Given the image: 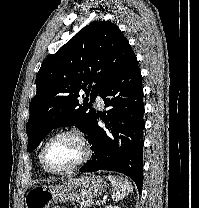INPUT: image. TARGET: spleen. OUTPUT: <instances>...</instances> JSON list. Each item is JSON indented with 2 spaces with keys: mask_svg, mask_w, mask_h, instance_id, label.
<instances>
[{
  "mask_svg": "<svg viewBox=\"0 0 199 208\" xmlns=\"http://www.w3.org/2000/svg\"><path fill=\"white\" fill-rule=\"evenodd\" d=\"M107 178L112 184L113 200L119 201L133 191V186L128 180L113 175H109Z\"/></svg>",
  "mask_w": 199,
  "mask_h": 208,
  "instance_id": "3e777b00",
  "label": "spleen"
}]
</instances>
